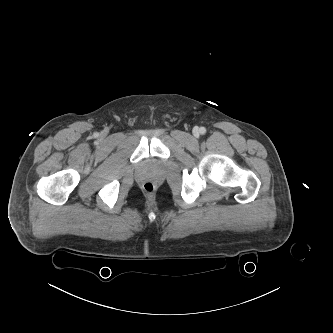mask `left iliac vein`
I'll list each match as a JSON object with an SVG mask.
<instances>
[{
    "mask_svg": "<svg viewBox=\"0 0 333 333\" xmlns=\"http://www.w3.org/2000/svg\"><path fill=\"white\" fill-rule=\"evenodd\" d=\"M198 133H199L198 130L195 129V130H194V135L196 136V135H198Z\"/></svg>",
    "mask_w": 333,
    "mask_h": 333,
    "instance_id": "obj_1",
    "label": "left iliac vein"
}]
</instances>
